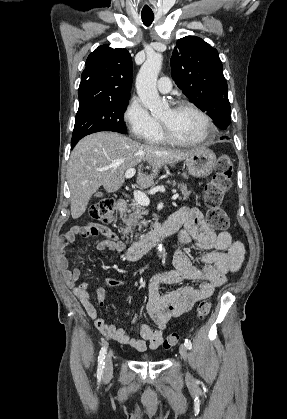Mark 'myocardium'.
<instances>
[{"mask_svg": "<svg viewBox=\"0 0 287 419\" xmlns=\"http://www.w3.org/2000/svg\"><path fill=\"white\" fill-rule=\"evenodd\" d=\"M175 108H185L190 109L194 111L196 114L200 116V118L203 120L205 127H206V133L203 137L197 140H183L180 138H177L173 136L169 130L166 128V126L161 122L162 126V135L166 142L175 144V145H181V146H198L207 143L208 141L212 140L216 135V128L211 120V118L197 105H195L192 102L189 101H180L175 105Z\"/></svg>", "mask_w": 287, "mask_h": 419, "instance_id": "f54148a6", "label": "myocardium"}]
</instances>
